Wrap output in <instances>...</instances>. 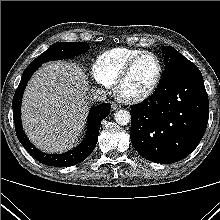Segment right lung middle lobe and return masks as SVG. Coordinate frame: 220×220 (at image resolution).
Returning <instances> with one entry per match:
<instances>
[{
    "label": "right lung middle lobe",
    "mask_w": 220,
    "mask_h": 220,
    "mask_svg": "<svg viewBox=\"0 0 220 220\" xmlns=\"http://www.w3.org/2000/svg\"><path fill=\"white\" fill-rule=\"evenodd\" d=\"M89 45L85 42H58L50 46L30 64L42 65L44 62L77 56L86 52Z\"/></svg>",
    "instance_id": "right-lung-middle-lobe-1"
}]
</instances>
